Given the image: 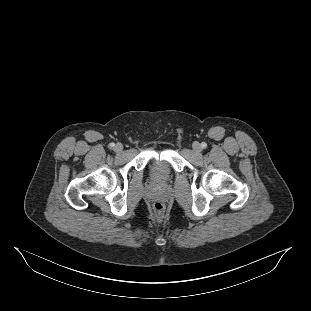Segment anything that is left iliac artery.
I'll return each instance as SVG.
<instances>
[{"mask_svg": "<svg viewBox=\"0 0 311 311\" xmlns=\"http://www.w3.org/2000/svg\"><path fill=\"white\" fill-rule=\"evenodd\" d=\"M201 147H202V148H206V147H207V144H206L205 142H202V143H201Z\"/></svg>", "mask_w": 311, "mask_h": 311, "instance_id": "1", "label": "left iliac artery"}]
</instances>
